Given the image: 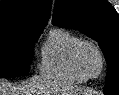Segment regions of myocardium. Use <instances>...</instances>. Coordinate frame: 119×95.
Listing matches in <instances>:
<instances>
[{"instance_id":"1","label":"myocardium","mask_w":119,"mask_h":95,"mask_svg":"<svg viewBox=\"0 0 119 95\" xmlns=\"http://www.w3.org/2000/svg\"><path fill=\"white\" fill-rule=\"evenodd\" d=\"M85 46H90L92 48H94L96 50V52L98 53L99 57H100V61H101V66H100V70L97 74L95 75H91L88 74L80 61V53L81 50L85 47ZM72 63L74 68L77 70V72L82 75L84 78L86 79H95L98 78L104 71L105 68V56L103 54V51L101 50L100 46L95 43L94 41L91 40H86V39H81L74 47L73 52H72Z\"/></svg>"}]
</instances>
